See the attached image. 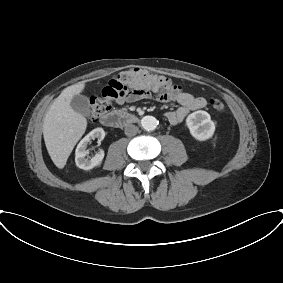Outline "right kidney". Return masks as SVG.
<instances>
[{"label": "right kidney", "mask_w": 283, "mask_h": 283, "mask_svg": "<svg viewBox=\"0 0 283 283\" xmlns=\"http://www.w3.org/2000/svg\"><path fill=\"white\" fill-rule=\"evenodd\" d=\"M105 137V132L102 128L93 129L89 134H87L77 145L75 151V163L76 166L83 170H90L96 166H99L102 163L104 158V151L100 150L95 156L88 159L85 158L88 151L86 150L88 142L90 140L98 139V141H102Z\"/></svg>", "instance_id": "obj_1"}]
</instances>
